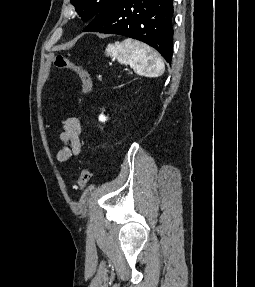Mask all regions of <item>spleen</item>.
<instances>
[{"label": "spleen", "mask_w": 255, "mask_h": 287, "mask_svg": "<svg viewBox=\"0 0 255 287\" xmlns=\"http://www.w3.org/2000/svg\"><path fill=\"white\" fill-rule=\"evenodd\" d=\"M108 54H121L124 62L133 64L135 72L140 76H146V78H158L164 74L165 66L159 58L157 52H154L152 48L141 44L137 40H124L123 44H108L106 48Z\"/></svg>", "instance_id": "spleen-1"}]
</instances>
